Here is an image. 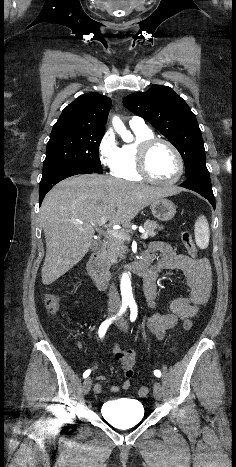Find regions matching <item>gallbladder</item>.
<instances>
[{"instance_id":"obj_1","label":"gallbladder","mask_w":236,"mask_h":467,"mask_svg":"<svg viewBox=\"0 0 236 467\" xmlns=\"http://www.w3.org/2000/svg\"><path fill=\"white\" fill-rule=\"evenodd\" d=\"M98 248H99V240H94L91 244V249L98 250Z\"/></svg>"}]
</instances>
